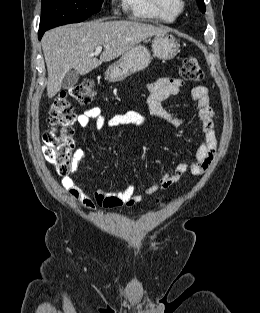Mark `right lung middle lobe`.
<instances>
[{"label": "right lung middle lobe", "instance_id": "right-lung-middle-lobe-1", "mask_svg": "<svg viewBox=\"0 0 260 313\" xmlns=\"http://www.w3.org/2000/svg\"><path fill=\"white\" fill-rule=\"evenodd\" d=\"M104 0H42L39 29L77 23L101 10Z\"/></svg>", "mask_w": 260, "mask_h": 313}]
</instances>
